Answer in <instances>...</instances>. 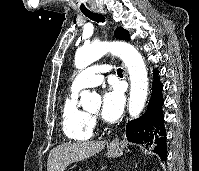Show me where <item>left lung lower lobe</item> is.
Masks as SVG:
<instances>
[{
    "label": "left lung lower lobe",
    "mask_w": 199,
    "mask_h": 171,
    "mask_svg": "<svg viewBox=\"0 0 199 171\" xmlns=\"http://www.w3.org/2000/svg\"><path fill=\"white\" fill-rule=\"evenodd\" d=\"M152 95L146 112L138 119L130 121L125 130L127 140L137 144H145L147 147L155 145L154 152L162 160L167 157L166 131L164 127V116L162 105V84L155 70Z\"/></svg>",
    "instance_id": "0a47b994"
}]
</instances>
